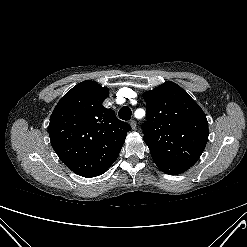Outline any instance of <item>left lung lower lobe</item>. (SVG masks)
Here are the masks:
<instances>
[{
    "mask_svg": "<svg viewBox=\"0 0 247 247\" xmlns=\"http://www.w3.org/2000/svg\"><path fill=\"white\" fill-rule=\"evenodd\" d=\"M153 160L161 171L169 175H177L185 172L190 168L184 165L170 163L158 158H153Z\"/></svg>",
    "mask_w": 247,
    "mask_h": 247,
    "instance_id": "obj_1",
    "label": "left lung lower lobe"
}]
</instances>
